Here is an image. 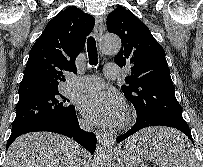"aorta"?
Listing matches in <instances>:
<instances>
[{"mask_svg": "<svg viewBox=\"0 0 203 167\" xmlns=\"http://www.w3.org/2000/svg\"><path fill=\"white\" fill-rule=\"evenodd\" d=\"M99 48L104 55H115L121 48V40L113 34L105 35L100 41ZM114 143V139H108L97 149L93 167H111Z\"/></svg>", "mask_w": 203, "mask_h": 167, "instance_id": "aorta-1", "label": "aorta"}]
</instances>
